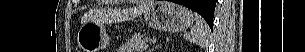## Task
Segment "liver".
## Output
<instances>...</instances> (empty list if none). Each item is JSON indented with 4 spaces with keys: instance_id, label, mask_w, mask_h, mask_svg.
Returning <instances> with one entry per match:
<instances>
[{
    "instance_id": "obj_1",
    "label": "liver",
    "mask_w": 305,
    "mask_h": 52,
    "mask_svg": "<svg viewBox=\"0 0 305 52\" xmlns=\"http://www.w3.org/2000/svg\"><path fill=\"white\" fill-rule=\"evenodd\" d=\"M153 5V1H149V3L138 5L129 9H114L107 12L106 17L110 22H123L127 20H131L145 11H147ZM93 12L86 13L82 18V24L88 22L89 20H93Z\"/></svg>"
}]
</instances>
